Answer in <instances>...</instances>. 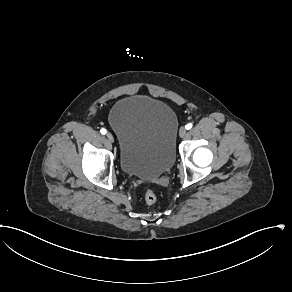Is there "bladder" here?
Masks as SVG:
<instances>
[{
  "label": "bladder",
  "instance_id": "bladder-1",
  "mask_svg": "<svg viewBox=\"0 0 292 292\" xmlns=\"http://www.w3.org/2000/svg\"><path fill=\"white\" fill-rule=\"evenodd\" d=\"M109 124L118 138L120 167L126 174L151 180L174 164L178 119L165 102L125 96L112 107Z\"/></svg>",
  "mask_w": 292,
  "mask_h": 292
}]
</instances>
